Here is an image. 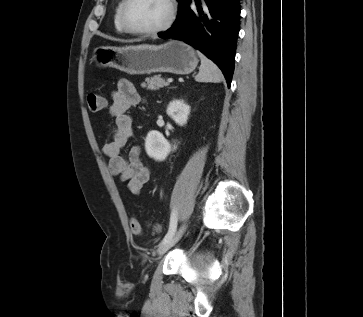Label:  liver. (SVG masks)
Masks as SVG:
<instances>
[{
    "label": "liver",
    "instance_id": "obj_1",
    "mask_svg": "<svg viewBox=\"0 0 363 317\" xmlns=\"http://www.w3.org/2000/svg\"><path fill=\"white\" fill-rule=\"evenodd\" d=\"M143 46H147V45H140V46H135V47H143ZM129 47H134V46H129Z\"/></svg>",
    "mask_w": 363,
    "mask_h": 317
}]
</instances>
